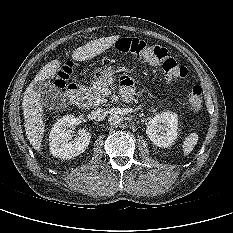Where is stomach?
Segmentation results:
<instances>
[{"label":"stomach","instance_id":"stomach-1","mask_svg":"<svg viewBox=\"0 0 233 233\" xmlns=\"http://www.w3.org/2000/svg\"><path fill=\"white\" fill-rule=\"evenodd\" d=\"M115 74V69L111 66H107L103 70H97L96 77L98 79V82H112Z\"/></svg>","mask_w":233,"mask_h":233}]
</instances>
